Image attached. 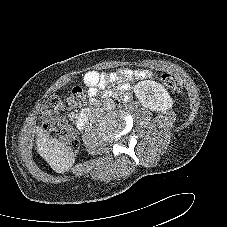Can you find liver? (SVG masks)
Masks as SVG:
<instances>
[{
    "instance_id": "1",
    "label": "liver",
    "mask_w": 227,
    "mask_h": 227,
    "mask_svg": "<svg viewBox=\"0 0 227 227\" xmlns=\"http://www.w3.org/2000/svg\"><path fill=\"white\" fill-rule=\"evenodd\" d=\"M36 145L38 154L57 173L68 171L75 162V154L72 149L56 139H50L42 127H36Z\"/></svg>"
}]
</instances>
